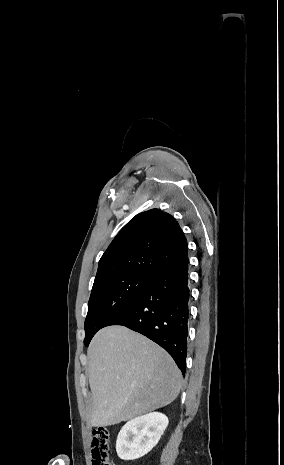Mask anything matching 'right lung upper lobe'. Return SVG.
<instances>
[{
  "label": "right lung upper lobe",
  "mask_w": 284,
  "mask_h": 465,
  "mask_svg": "<svg viewBox=\"0 0 284 465\" xmlns=\"http://www.w3.org/2000/svg\"><path fill=\"white\" fill-rule=\"evenodd\" d=\"M187 256V240L175 218L151 209L133 217L113 239L94 283L124 274L154 278Z\"/></svg>",
  "instance_id": "obj_1"
}]
</instances>
